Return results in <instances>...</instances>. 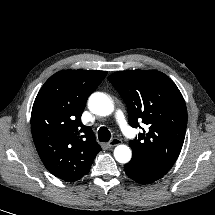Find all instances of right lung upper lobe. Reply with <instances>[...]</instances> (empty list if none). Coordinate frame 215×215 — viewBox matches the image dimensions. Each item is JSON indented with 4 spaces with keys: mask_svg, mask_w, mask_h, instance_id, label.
<instances>
[{
    "mask_svg": "<svg viewBox=\"0 0 215 215\" xmlns=\"http://www.w3.org/2000/svg\"><path fill=\"white\" fill-rule=\"evenodd\" d=\"M99 70H63L40 89L32 108L31 131L49 172L74 182L89 172L101 150L93 132L81 123L87 98L106 76Z\"/></svg>",
    "mask_w": 215,
    "mask_h": 215,
    "instance_id": "right-lung-upper-lobe-1",
    "label": "right lung upper lobe"
}]
</instances>
